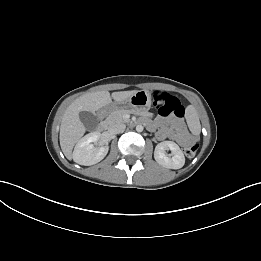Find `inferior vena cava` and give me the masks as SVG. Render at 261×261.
Wrapping results in <instances>:
<instances>
[{
	"instance_id": "inferior-vena-cava-1",
	"label": "inferior vena cava",
	"mask_w": 261,
	"mask_h": 261,
	"mask_svg": "<svg viewBox=\"0 0 261 261\" xmlns=\"http://www.w3.org/2000/svg\"><path fill=\"white\" fill-rule=\"evenodd\" d=\"M126 128V125L123 123H116L113 124L110 128H109V132L111 134H118L120 132H123Z\"/></svg>"
}]
</instances>
